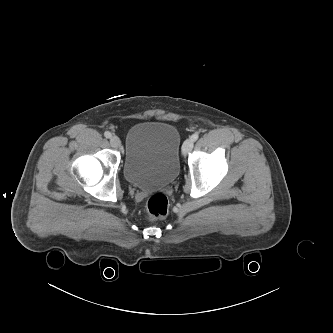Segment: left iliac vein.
<instances>
[{"label": "left iliac vein", "instance_id": "1", "mask_svg": "<svg viewBox=\"0 0 333 333\" xmlns=\"http://www.w3.org/2000/svg\"><path fill=\"white\" fill-rule=\"evenodd\" d=\"M193 140L192 139H187L184 143H183V146H182V153L184 155H186L187 153H189L192 148H193Z\"/></svg>", "mask_w": 333, "mask_h": 333}]
</instances>
